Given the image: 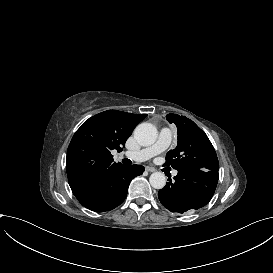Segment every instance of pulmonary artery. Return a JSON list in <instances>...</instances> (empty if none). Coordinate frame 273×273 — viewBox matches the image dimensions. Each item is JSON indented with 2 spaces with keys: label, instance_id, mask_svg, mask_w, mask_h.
I'll use <instances>...</instances> for the list:
<instances>
[{
  "label": "pulmonary artery",
  "instance_id": "e3ab8cb5",
  "mask_svg": "<svg viewBox=\"0 0 273 273\" xmlns=\"http://www.w3.org/2000/svg\"><path fill=\"white\" fill-rule=\"evenodd\" d=\"M162 133L163 135L160 141L158 142V144L152 146L148 150L137 151L136 153L132 152L130 154V157L132 159L137 158L138 160L150 159L155 157L159 153H162L163 151H165L168 148V145L171 143V141L175 138V133L173 131H170L168 128H164L162 130ZM128 157H129V154L127 152H123L120 155V158L122 160H125ZM176 175H177V171L173 170L172 176H176Z\"/></svg>",
  "mask_w": 273,
  "mask_h": 273
}]
</instances>
